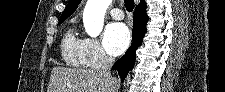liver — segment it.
<instances>
[{
	"instance_id": "liver-1",
	"label": "liver",
	"mask_w": 225,
	"mask_h": 92,
	"mask_svg": "<svg viewBox=\"0 0 225 92\" xmlns=\"http://www.w3.org/2000/svg\"><path fill=\"white\" fill-rule=\"evenodd\" d=\"M116 83L102 70L54 67L47 92H113Z\"/></svg>"
}]
</instances>
